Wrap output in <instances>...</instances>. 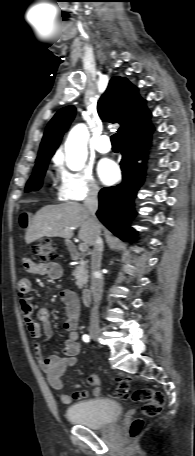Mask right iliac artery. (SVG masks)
Masks as SVG:
<instances>
[{
  "instance_id": "82829eb1",
  "label": "right iliac artery",
  "mask_w": 195,
  "mask_h": 456,
  "mask_svg": "<svg viewBox=\"0 0 195 456\" xmlns=\"http://www.w3.org/2000/svg\"><path fill=\"white\" fill-rule=\"evenodd\" d=\"M82 340H83L84 342H89V341H90V336L87 335V334H84V335L82 336Z\"/></svg>"
}]
</instances>
